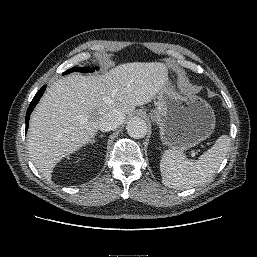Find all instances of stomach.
Masks as SVG:
<instances>
[{
	"instance_id": "stomach-1",
	"label": "stomach",
	"mask_w": 257,
	"mask_h": 257,
	"mask_svg": "<svg viewBox=\"0 0 257 257\" xmlns=\"http://www.w3.org/2000/svg\"><path fill=\"white\" fill-rule=\"evenodd\" d=\"M156 98L149 116L159 126L164 145L183 152L212 134L214 111L202 98L182 86L171 85L167 78Z\"/></svg>"
}]
</instances>
